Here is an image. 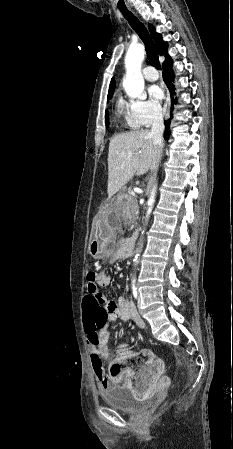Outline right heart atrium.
I'll list each match as a JSON object with an SVG mask.
<instances>
[{"mask_svg": "<svg viewBox=\"0 0 233 449\" xmlns=\"http://www.w3.org/2000/svg\"><path fill=\"white\" fill-rule=\"evenodd\" d=\"M132 104L134 114L140 125L149 126L157 122L162 116L160 105L152 100H139L132 102Z\"/></svg>", "mask_w": 233, "mask_h": 449, "instance_id": "1", "label": "right heart atrium"}]
</instances>
